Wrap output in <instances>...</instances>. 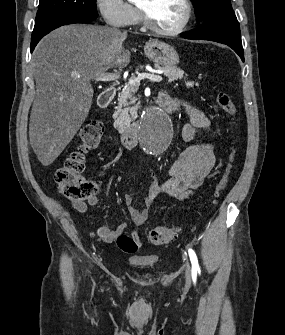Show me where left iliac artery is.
I'll list each match as a JSON object with an SVG mask.
<instances>
[{
    "label": "left iliac artery",
    "instance_id": "1",
    "mask_svg": "<svg viewBox=\"0 0 285 335\" xmlns=\"http://www.w3.org/2000/svg\"><path fill=\"white\" fill-rule=\"evenodd\" d=\"M188 253H189V257H190L191 264H192V278L194 280L196 279L197 272L200 273V268H199L198 259H197L195 252L192 249H189Z\"/></svg>",
    "mask_w": 285,
    "mask_h": 335
}]
</instances>
